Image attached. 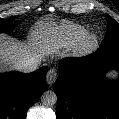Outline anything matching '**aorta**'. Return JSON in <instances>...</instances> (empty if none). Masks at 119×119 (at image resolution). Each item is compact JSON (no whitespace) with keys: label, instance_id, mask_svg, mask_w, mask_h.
Listing matches in <instances>:
<instances>
[{"label":"aorta","instance_id":"obj_1","mask_svg":"<svg viewBox=\"0 0 119 119\" xmlns=\"http://www.w3.org/2000/svg\"><path fill=\"white\" fill-rule=\"evenodd\" d=\"M41 102L45 106H53L57 103L56 93L52 90L45 91L41 96Z\"/></svg>","mask_w":119,"mask_h":119}]
</instances>
